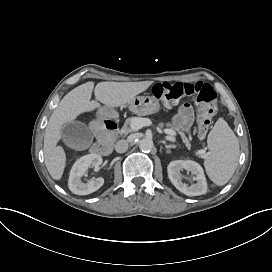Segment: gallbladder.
Wrapping results in <instances>:
<instances>
[{"instance_id":"bac80fb5","label":"gallbladder","mask_w":272,"mask_h":272,"mask_svg":"<svg viewBox=\"0 0 272 272\" xmlns=\"http://www.w3.org/2000/svg\"><path fill=\"white\" fill-rule=\"evenodd\" d=\"M64 143L73 149L88 148L93 141L90 129L85 123L71 121L65 123L61 128Z\"/></svg>"}]
</instances>
